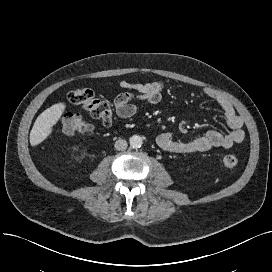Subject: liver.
I'll return each instance as SVG.
<instances>
[{
	"label": "liver",
	"instance_id": "liver-1",
	"mask_svg": "<svg viewBox=\"0 0 272 272\" xmlns=\"http://www.w3.org/2000/svg\"><path fill=\"white\" fill-rule=\"evenodd\" d=\"M65 103H57L43 111L36 119L30 132V144L42 143L52 133V127L59 121L65 111Z\"/></svg>",
	"mask_w": 272,
	"mask_h": 272
}]
</instances>
